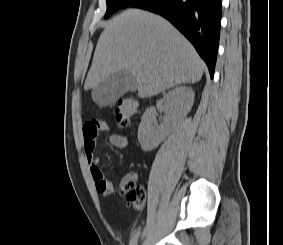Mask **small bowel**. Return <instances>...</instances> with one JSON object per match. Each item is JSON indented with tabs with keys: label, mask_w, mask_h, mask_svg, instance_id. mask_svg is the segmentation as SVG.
Masks as SVG:
<instances>
[{
	"label": "small bowel",
	"mask_w": 283,
	"mask_h": 245,
	"mask_svg": "<svg viewBox=\"0 0 283 245\" xmlns=\"http://www.w3.org/2000/svg\"><path fill=\"white\" fill-rule=\"evenodd\" d=\"M109 126L103 121L97 119L88 120L83 126V141H84V150L86 154L87 162L90 166V173L95 183V188L98 193L103 196H109L115 194L120 190L116 188L110 181H108L101 168L99 167V158L95 156L94 150L96 146V138L100 131H108ZM109 143L119 149H125L128 146V138L125 134L120 132H114L109 136ZM135 180L134 175H128L125 177L124 181H133Z\"/></svg>",
	"instance_id": "1"
}]
</instances>
